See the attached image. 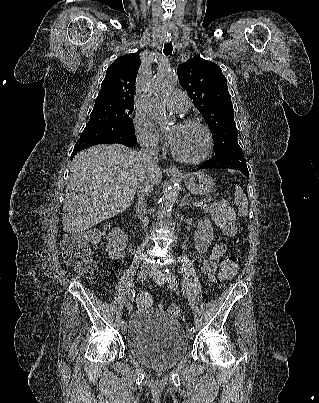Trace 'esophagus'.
Wrapping results in <instances>:
<instances>
[{"label":"esophagus","mask_w":319,"mask_h":403,"mask_svg":"<svg viewBox=\"0 0 319 403\" xmlns=\"http://www.w3.org/2000/svg\"><path fill=\"white\" fill-rule=\"evenodd\" d=\"M167 172H169V173H171V174H179V173H180V172H179V169H178L176 166H174V165L169 166V167L167 168Z\"/></svg>","instance_id":"1"}]
</instances>
